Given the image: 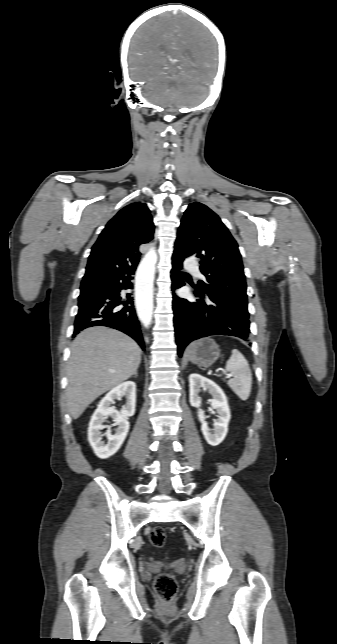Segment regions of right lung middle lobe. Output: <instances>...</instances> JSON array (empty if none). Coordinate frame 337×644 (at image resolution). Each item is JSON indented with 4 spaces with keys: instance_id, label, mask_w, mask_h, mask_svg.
<instances>
[{
    "instance_id": "1",
    "label": "right lung middle lobe",
    "mask_w": 337,
    "mask_h": 644,
    "mask_svg": "<svg viewBox=\"0 0 337 644\" xmlns=\"http://www.w3.org/2000/svg\"><path fill=\"white\" fill-rule=\"evenodd\" d=\"M104 284H105L104 281L82 283L80 287L81 292H80L79 300L91 295L96 290L101 288Z\"/></svg>"
}]
</instances>
